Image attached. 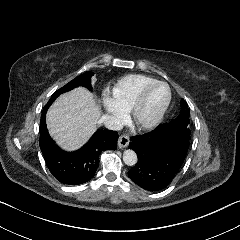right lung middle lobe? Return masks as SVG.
<instances>
[{
	"mask_svg": "<svg viewBox=\"0 0 240 240\" xmlns=\"http://www.w3.org/2000/svg\"><path fill=\"white\" fill-rule=\"evenodd\" d=\"M94 75L93 72H86L83 73L81 75H79L78 77L74 78L73 80H71L69 83H67L65 86H63L62 88H60L59 90H57L53 96L50 98V100L48 101V103L45 105V107L43 108V112H46L48 110V108L50 107V105L55 101V99L64 92L70 91L72 89H74L75 87L78 86H84L86 88H88L89 90H91V84H90V78Z\"/></svg>",
	"mask_w": 240,
	"mask_h": 240,
	"instance_id": "dd1d6c3e",
	"label": "right lung middle lobe"
}]
</instances>
